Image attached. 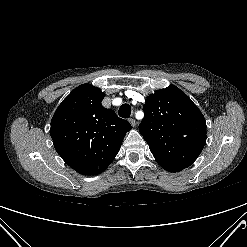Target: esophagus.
<instances>
[{
	"mask_svg": "<svg viewBox=\"0 0 247 247\" xmlns=\"http://www.w3.org/2000/svg\"><path fill=\"white\" fill-rule=\"evenodd\" d=\"M129 122L131 124L132 127H135L136 126V120L134 118H130L129 119Z\"/></svg>",
	"mask_w": 247,
	"mask_h": 247,
	"instance_id": "esophagus-1",
	"label": "esophagus"
}]
</instances>
